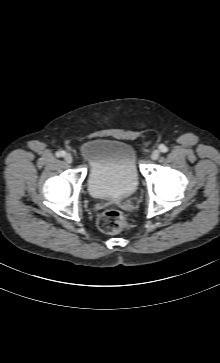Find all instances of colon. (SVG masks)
<instances>
[{
	"mask_svg": "<svg viewBox=\"0 0 220 363\" xmlns=\"http://www.w3.org/2000/svg\"><path fill=\"white\" fill-rule=\"evenodd\" d=\"M98 227L105 233L117 234L128 231L131 227L125 215L115 209L103 211L97 219Z\"/></svg>",
	"mask_w": 220,
	"mask_h": 363,
	"instance_id": "colon-1",
	"label": "colon"
}]
</instances>
